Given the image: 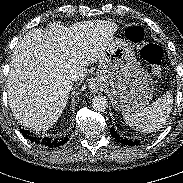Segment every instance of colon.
I'll return each instance as SVG.
<instances>
[{"instance_id":"obj_1","label":"colon","mask_w":183,"mask_h":183,"mask_svg":"<svg viewBox=\"0 0 183 183\" xmlns=\"http://www.w3.org/2000/svg\"><path fill=\"white\" fill-rule=\"evenodd\" d=\"M127 38L134 42L141 57L151 65L154 73L160 74L163 60V50L157 44L145 40V31L140 26H131L126 30Z\"/></svg>"}]
</instances>
